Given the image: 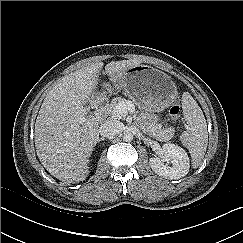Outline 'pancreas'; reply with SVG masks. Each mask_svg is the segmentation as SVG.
Instances as JSON below:
<instances>
[{"mask_svg":"<svg viewBox=\"0 0 243 243\" xmlns=\"http://www.w3.org/2000/svg\"><path fill=\"white\" fill-rule=\"evenodd\" d=\"M127 100L121 97L114 98L107 111L110 114V116L114 119H121L125 117V114H120L116 111V106L119 103H126ZM146 132L154 137L155 139L159 141H168L170 140L173 135L174 131L171 128H162L160 124L157 123V121H154L153 123H149Z\"/></svg>","mask_w":243,"mask_h":243,"instance_id":"1","label":"pancreas"}]
</instances>
